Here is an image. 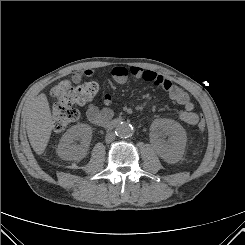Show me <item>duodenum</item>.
Wrapping results in <instances>:
<instances>
[{
    "instance_id": "1",
    "label": "duodenum",
    "mask_w": 245,
    "mask_h": 245,
    "mask_svg": "<svg viewBox=\"0 0 245 245\" xmlns=\"http://www.w3.org/2000/svg\"><path fill=\"white\" fill-rule=\"evenodd\" d=\"M119 123H120V120L119 119H115V120H110V121L104 122L102 126L106 127V128H114Z\"/></svg>"
}]
</instances>
